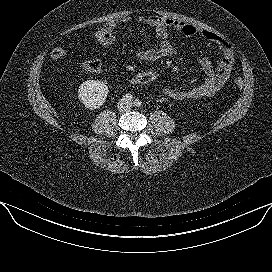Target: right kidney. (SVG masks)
Segmentation results:
<instances>
[{"label":"right kidney","mask_w":272,"mask_h":272,"mask_svg":"<svg viewBox=\"0 0 272 272\" xmlns=\"http://www.w3.org/2000/svg\"><path fill=\"white\" fill-rule=\"evenodd\" d=\"M108 92V86L103 81L88 80L80 85L78 97L87 109L94 110L105 103Z\"/></svg>","instance_id":"obj_1"}]
</instances>
